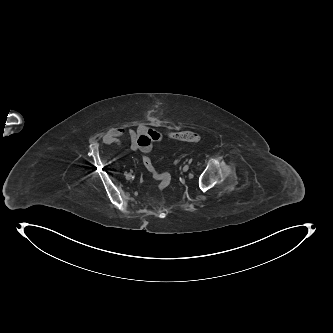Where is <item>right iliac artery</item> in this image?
<instances>
[{
	"label": "right iliac artery",
	"mask_w": 333,
	"mask_h": 333,
	"mask_svg": "<svg viewBox=\"0 0 333 333\" xmlns=\"http://www.w3.org/2000/svg\"><path fill=\"white\" fill-rule=\"evenodd\" d=\"M124 175H125V176H127V175H128L126 171L124 172Z\"/></svg>",
	"instance_id": "right-iliac-artery-1"
}]
</instances>
